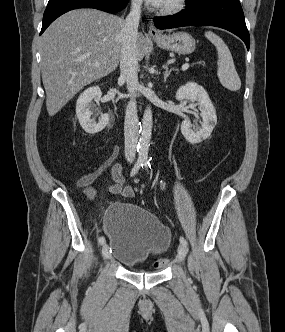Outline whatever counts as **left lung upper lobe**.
Here are the masks:
<instances>
[{
    "mask_svg": "<svg viewBox=\"0 0 285 332\" xmlns=\"http://www.w3.org/2000/svg\"><path fill=\"white\" fill-rule=\"evenodd\" d=\"M198 1H200V0H186V4H192V3H195Z\"/></svg>",
    "mask_w": 285,
    "mask_h": 332,
    "instance_id": "obj_1",
    "label": "left lung upper lobe"
}]
</instances>
